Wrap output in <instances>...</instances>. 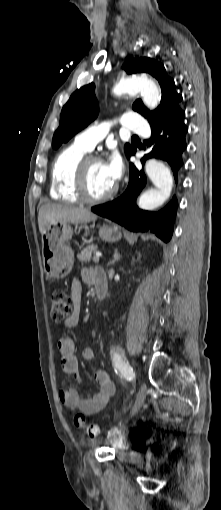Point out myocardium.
Wrapping results in <instances>:
<instances>
[{
    "label": "myocardium",
    "mask_w": 221,
    "mask_h": 510,
    "mask_svg": "<svg viewBox=\"0 0 221 510\" xmlns=\"http://www.w3.org/2000/svg\"><path fill=\"white\" fill-rule=\"evenodd\" d=\"M92 162H103V160L97 155L86 154L77 163L73 176V189L80 202L96 205L111 200L116 195L118 187L115 185L111 191L100 197H91L87 190V176L88 166Z\"/></svg>",
    "instance_id": "f54148a6"
}]
</instances>
